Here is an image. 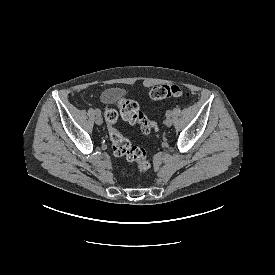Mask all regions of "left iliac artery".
<instances>
[{
  "mask_svg": "<svg viewBox=\"0 0 275 275\" xmlns=\"http://www.w3.org/2000/svg\"><path fill=\"white\" fill-rule=\"evenodd\" d=\"M166 116H167V117H170V116H171V111H170V110H168V111L166 112Z\"/></svg>",
  "mask_w": 275,
  "mask_h": 275,
  "instance_id": "1",
  "label": "left iliac artery"
}]
</instances>
